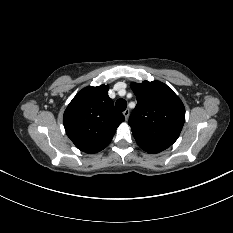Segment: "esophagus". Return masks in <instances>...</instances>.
Instances as JSON below:
<instances>
[{
	"instance_id": "obj_1",
	"label": "esophagus",
	"mask_w": 233,
	"mask_h": 233,
	"mask_svg": "<svg viewBox=\"0 0 233 233\" xmlns=\"http://www.w3.org/2000/svg\"><path fill=\"white\" fill-rule=\"evenodd\" d=\"M123 115H124L125 119L128 120L129 115H130V110H129V109H126V110L123 112Z\"/></svg>"
}]
</instances>
